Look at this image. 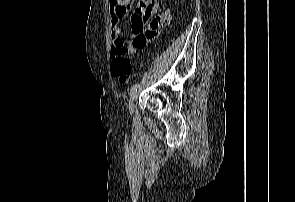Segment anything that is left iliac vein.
<instances>
[{"instance_id": "4c4485c4", "label": "left iliac vein", "mask_w": 295, "mask_h": 202, "mask_svg": "<svg viewBox=\"0 0 295 202\" xmlns=\"http://www.w3.org/2000/svg\"><path fill=\"white\" fill-rule=\"evenodd\" d=\"M138 95H139V91H135L134 93H132L129 101H128V110H129V113H132L133 112V108H134V103L136 101V99L138 98Z\"/></svg>"}]
</instances>
